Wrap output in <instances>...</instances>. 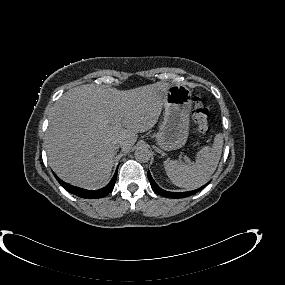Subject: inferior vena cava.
<instances>
[{"mask_svg": "<svg viewBox=\"0 0 285 285\" xmlns=\"http://www.w3.org/2000/svg\"><path fill=\"white\" fill-rule=\"evenodd\" d=\"M124 145L123 141H118L116 144H115V147L116 148H120Z\"/></svg>", "mask_w": 285, "mask_h": 285, "instance_id": "602c4592", "label": "inferior vena cava"}]
</instances>
